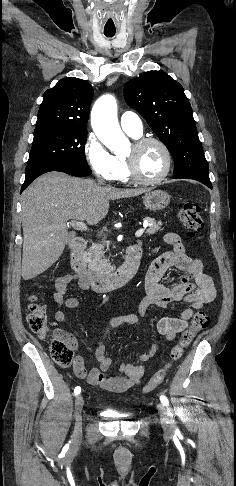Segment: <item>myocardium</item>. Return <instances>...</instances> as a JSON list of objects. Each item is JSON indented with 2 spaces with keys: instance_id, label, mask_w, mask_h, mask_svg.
Returning <instances> with one entry per match:
<instances>
[{
  "instance_id": "obj_1",
  "label": "myocardium",
  "mask_w": 236,
  "mask_h": 486,
  "mask_svg": "<svg viewBox=\"0 0 236 486\" xmlns=\"http://www.w3.org/2000/svg\"><path fill=\"white\" fill-rule=\"evenodd\" d=\"M150 143H154V144L158 145L161 148V150L164 154V157H165L164 170L158 177L153 178V179L143 178L138 172L135 158L133 156H125L124 157L130 180H132L135 183L141 184V185H156V184H159L160 182H162L163 180H165L167 178V176L169 175L171 168H172V154H171L168 146L162 140L155 138V137H143V138L136 139L134 141V143L132 144V146L135 150H138V149L142 148L143 146L150 144Z\"/></svg>"
}]
</instances>
